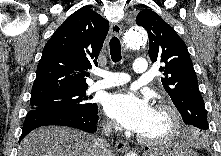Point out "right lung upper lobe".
Returning <instances> with one entry per match:
<instances>
[{
	"label": "right lung upper lobe",
	"mask_w": 221,
	"mask_h": 156,
	"mask_svg": "<svg viewBox=\"0 0 221 156\" xmlns=\"http://www.w3.org/2000/svg\"><path fill=\"white\" fill-rule=\"evenodd\" d=\"M108 29V21L88 8L69 16L43 49L31 99L87 89L86 71L98 66Z\"/></svg>",
	"instance_id": "right-lung-upper-lobe-1"
}]
</instances>
